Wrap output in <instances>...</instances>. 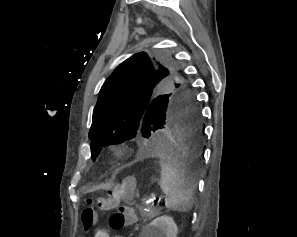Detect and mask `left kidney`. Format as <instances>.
Segmentation results:
<instances>
[{
    "label": "left kidney",
    "instance_id": "5707ae66",
    "mask_svg": "<svg viewBox=\"0 0 297 237\" xmlns=\"http://www.w3.org/2000/svg\"><path fill=\"white\" fill-rule=\"evenodd\" d=\"M178 227L172 217L160 216L148 224L145 237H177Z\"/></svg>",
    "mask_w": 297,
    "mask_h": 237
}]
</instances>
